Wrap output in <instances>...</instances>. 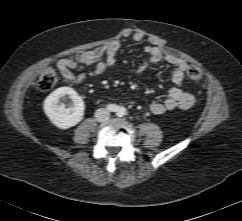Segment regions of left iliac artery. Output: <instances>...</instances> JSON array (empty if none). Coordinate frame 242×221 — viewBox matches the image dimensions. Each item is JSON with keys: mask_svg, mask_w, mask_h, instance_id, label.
I'll list each match as a JSON object with an SVG mask.
<instances>
[{"mask_svg": "<svg viewBox=\"0 0 242 221\" xmlns=\"http://www.w3.org/2000/svg\"><path fill=\"white\" fill-rule=\"evenodd\" d=\"M125 114V110L123 109H119V111L117 112V116L122 117Z\"/></svg>", "mask_w": 242, "mask_h": 221, "instance_id": "left-iliac-artery-1", "label": "left iliac artery"}]
</instances>
